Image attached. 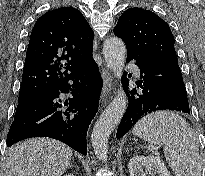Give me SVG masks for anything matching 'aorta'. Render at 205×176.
Returning <instances> with one entry per match:
<instances>
[{
  "label": "aorta",
  "instance_id": "aorta-1",
  "mask_svg": "<svg viewBox=\"0 0 205 176\" xmlns=\"http://www.w3.org/2000/svg\"><path fill=\"white\" fill-rule=\"evenodd\" d=\"M103 54L108 67L113 71L114 75L120 79L126 58L124 42L118 37L108 38L103 46ZM126 107V96L120 86L117 96L99 117L92 131V146L96 156L100 160L107 158L109 136L120 123L126 111Z\"/></svg>",
  "mask_w": 205,
  "mask_h": 176
}]
</instances>
